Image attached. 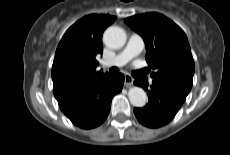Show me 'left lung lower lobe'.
Here are the masks:
<instances>
[{
  "label": "left lung lower lobe",
  "instance_id": "1",
  "mask_svg": "<svg viewBox=\"0 0 230 155\" xmlns=\"http://www.w3.org/2000/svg\"><path fill=\"white\" fill-rule=\"evenodd\" d=\"M134 84L147 90L149 97L148 104L143 108H135L134 114L141 124L150 128L169 123L186 99V95L155 81L150 87L147 82L142 83L139 79Z\"/></svg>",
  "mask_w": 230,
  "mask_h": 155
}]
</instances>
